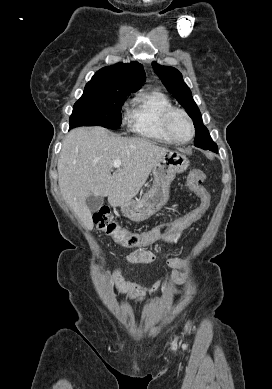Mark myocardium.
<instances>
[{
    "label": "myocardium",
    "mask_w": 272,
    "mask_h": 389,
    "mask_svg": "<svg viewBox=\"0 0 272 389\" xmlns=\"http://www.w3.org/2000/svg\"><path fill=\"white\" fill-rule=\"evenodd\" d=\"M176 113H180L182 114L188 121L189 125H190V128H191V135L188 139L186 140H181V139H178L172 132L171 130V126H170V121H171V118L174 114ZM162 127L165 131V133L169 136V138L175 142V143H178V144H186V143H189L195 136V126H194V122L191 118V116L189 115V113L184 110L183 108H179V107H171L169 108L168 110L165 111V113L163 114L162 116Z\"/></svg>",
    "instance_id": "f54148a6"
}]
</instances>
